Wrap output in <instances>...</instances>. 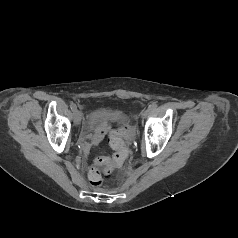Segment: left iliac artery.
Here are the masks:
<instances>
[{
  "mask_svg": "<svg viewBox=\"0 0 238 238\" xmlns=\"http://www.w3.org/2000/svg\"><path fill=\"white\" fill-rule=\"evenodd\" d=\"M156 107H157V106L153 104V105H151V106L149 107V110H155Z\"/></svg>",
  "mask_w": 238,
  "mask_h": 238,
  "instance_id": "obj_1",
  "label": "left iliac artery"
}]
</instances>
